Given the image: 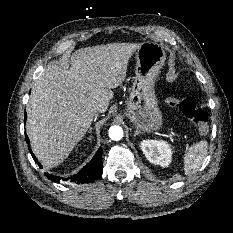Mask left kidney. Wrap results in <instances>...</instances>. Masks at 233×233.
<instances>
[{
    "instance_id": "1",
    "label": "left kidney",
    "mask_w": 233,
    "mask_h": 233,
    "mask_svg": "<svg viewBox=\"0 0 233 233\" xmlns=\"http://www.w3.org/2000/svg\"><path fill=\"white\" fill-rule=\"evenodd\" d=\"M141 150L148 161L153 164L167 167L171 162L172 150L165 141L143 140Z\"/></svg>"
}]
</instances>
